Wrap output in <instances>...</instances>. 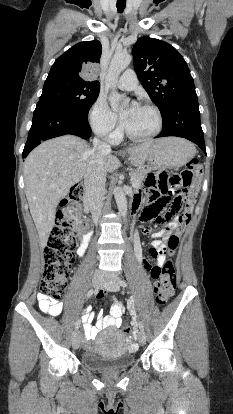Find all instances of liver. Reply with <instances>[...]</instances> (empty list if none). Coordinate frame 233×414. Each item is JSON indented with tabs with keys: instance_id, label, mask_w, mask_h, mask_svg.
<instances>
[{
	"instance_id": "6515ba94",
	"label": "liver",
	"mask_w": 233,
	"mask_h": 414,
	"mask_svg": "<svg viewBox=\"0 0 233 414\" xmlns=\"http://www.w3.org/2000/svg\"><path fill=\"white\" fill-rule=\"evenodd\" d=\"M152 143L126 150L133 165L144 164ZM91 152L85 140L64 135L41 143L25 159V193L42 247L47 245L55 224L59 202L84 178ZM103 166L106 172H112L120 163L116 155L109 153L103 155Z\"/></svg>"
}]
</instances>
